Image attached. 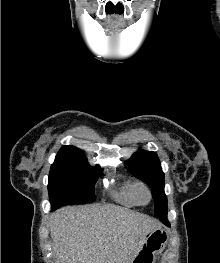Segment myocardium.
Here are the masks:
<instances>
[{"instance_id":"myocardium-1","label":"myocardium","mask_w":220,"mask_h":263,"mask_svg":"<svg viewBox=\"0 0 220 263\" xmlns=\"http://www.w3.org/2000/svg\"><path fill=\"white\" fill-rule=\"evenodd\" d=\"M136 199L138 204L146 205L151 200V191L144 183L137 184Z\"/></svg>"}]
</instances>
